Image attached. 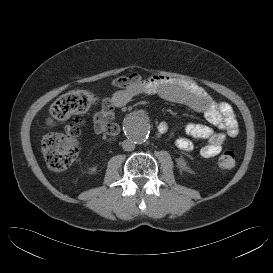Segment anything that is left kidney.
<instances>
[{"instance_id": "left-kidney-1", "label": "left kidney", "mask_w": 273, "mask_h": 273, "mask_svg": "<svg viewBox=\"0 0 273 273\" xmlns=\"http://www.w3.org/2000/svg\"><path fill=\"white\" fill-rule=\"evenodd\" d=\"M177 164L182 169H186L187 168V163H186L185 159H183V158H178L177 159Z\"/></svg>"}]
</instances>
